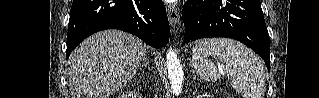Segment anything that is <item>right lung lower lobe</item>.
<instances>
[{"label": "right lung lower lobe", "instance_id": "98d812e1", "mask_svg": "<svg viewBox=\"0 0 319 98\" xmlns=\"http://www.w3.org/2000/svg\"><path fill=\"white\" fill-rule=\"evenodd\" d=\"M105 29H120L155 48L169 41L162 0H74L67 34V58L85 38Z\"/></svg>", "mask_w": 319, "mask_h": 98}]
</instances>
